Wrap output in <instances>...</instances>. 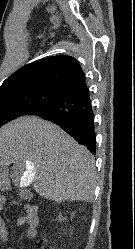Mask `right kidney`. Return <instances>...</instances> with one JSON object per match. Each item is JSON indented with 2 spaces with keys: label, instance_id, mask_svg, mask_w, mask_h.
<instances>
[{
  "label": "right kidney",
  "instance_id": "ca27d5eb",
  "mask_svg": "<svg viewBox=\"0 0 135 249\" xmlns=\"http://www.w3.org/2000/svg\"><path fill=\"white\" fill-rule=\"evenodd\" d=\"M58 218H59V221H63V220H65V218H62V217H61V215H59V217H58Z\"/></svg>",
  "mask_w": 135,
  "mask_h": 249
}]
</instances>
